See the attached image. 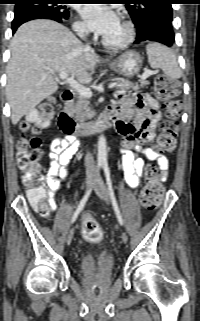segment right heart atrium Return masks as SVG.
<instances>
[{"label":"right heart atrium","instance_id":"right-heart-atrium-1","mask_svg":"<svg viewBox=\"0 0 200 321\" xmlns=\"http://www.w3.org/2000/svg\"><path fill=\"white\" fill-rule=\"evenodd\" d=\"M73 28H74V31L81 37L88 35V30H87L85 24L80 20H78L74 23Z\"/></svg>","mask_w":200,"mask_h":321}]
</instances>
